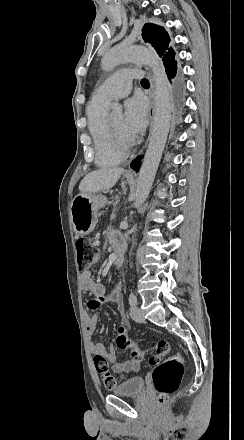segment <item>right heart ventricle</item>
<instances>
[{
  "label": "right heart ventricle",
  "mask_w": 244,
  "mask_h": 440,
  "mask_svg": "<svg viewBox=\"0 0 244 440\" xmlns=\"http://www.w3.org/2000/svg\"><path fill=\"white\" fill-rule=\"evenodd\" d=\"M107 107V102H94L92 99L86 108L88 129L96 147L95 162L100 168L117 166L125 158L122 145L114 147L110 141L113 136L109 135L111 131L105 125Z\"/></svg>",
  "instance_id": "obj_1"
}]
</instances>
